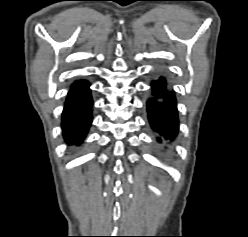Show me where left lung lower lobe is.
<instances>
[{
    "mask_svg": "<svg viewBox=\"0 0 248 237\" xmlns=\"http://www.w3.org/2000/svg\"><path fill=\"white\" fill-rule=\"evenodd\" d=\"M152 87L153 96L147 101L150 124L154 131L172 140L178 131L175 96L166 90V82L163 77L152 82Z\"/></svg>",
    "mask_w": 248,
    "mask_h": 237,
    "instance_id": "1",
    "label": "left lung lower lobe"
}]
</instances>
